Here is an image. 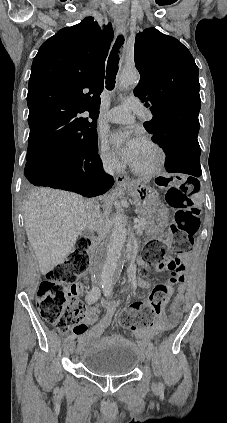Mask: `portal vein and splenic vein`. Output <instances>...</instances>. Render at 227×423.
Instances as JSON below:
<instances>
[{"label":"portal vein and splenic vein","instance_id":"portal-vein-and-splenic-vein-1","mask_svg":"<svg viewBox=\"0 0 227 423\" xmlns=\"http://www.w3.org/2000/svg\"><path fill=\"white\" fill-rule=\"evenodd\" d=\"M133 221H134V223H138V221H139L138 217H134Z\"/></svg>","mask_w":227,"mask_h":423}]
</instances>
